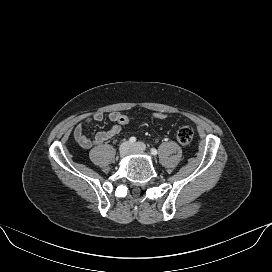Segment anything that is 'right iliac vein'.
I'll return each mask as SVG.
<instances>
[{"label":"right iliac vein","instance_id":"63e3f726","mask_svg":"<svg viewBox=\"0 0 272 272\" xmlns=\"http://www.w3.org/2000/svg\"><path fill=\"white\" fill-rule=\"evenodd\" d=\"M120 156L121 157H125L127 156L131 150H132V146L129 142H123L121 145H120Z\"/></svg>","mask_w":272,"mask_h":272}]
</instances>
